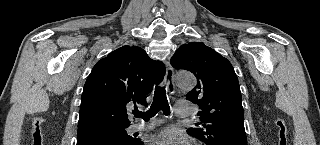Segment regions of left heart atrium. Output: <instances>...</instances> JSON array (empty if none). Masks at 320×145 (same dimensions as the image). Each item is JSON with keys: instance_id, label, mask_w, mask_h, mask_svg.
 Instances as JSON below:
<instances>
[{"instance_id": "1", "label": "left heart atrium", "mask_w": 320, "mask_h": 145, "mask_svg": "<svg viewBox=\"0 0 320 145\" xmlns=\"http://www.w3.org/2000/svg\"><path fill=\"white\" fill-rule=\"evenodd\" d=\"M151 145H189L187 137L176 129H165L149 139Z\"/></svg>"}]
</instances>
